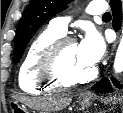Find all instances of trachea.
<instances>
[{
	"label": "trachea",
	"instance_id": "1",
	"mask_svg": "<svg viewBox=\"0 0 123 113\" xmlns=\"http://www.w3.org/2000/svg\"><path fill=\"white\" fill-rule=\"evenodd\" d=\"M103 18H111V14L109 12H106L102 16Z\"/></svg>",
	"mask_w": 123,
	"mask_h": 113
}]
</instances>
